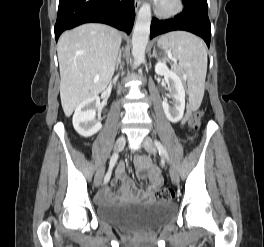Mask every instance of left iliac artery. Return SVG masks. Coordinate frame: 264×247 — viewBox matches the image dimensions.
Instances as JSON below:
<instances>
[{
	"mask_svg": "<svg viewBox=\"0 0 264 247\" xmlns=\"http://www.w3.org/2000/svg\"><path fill=\"white\" fill-rule=\"evenodd\" d=\"M155 145L158 148L159 154L164 156L169 161V157L164 146L159 141H155Z\"/></svg>",
	"mask_w": 264,
	"mask_h": 247,
	"instance_id": "obj_1",
	"label": "left iliac artery"
}]
</instances>
